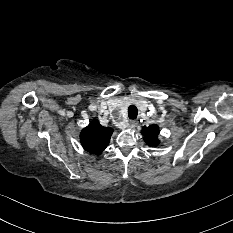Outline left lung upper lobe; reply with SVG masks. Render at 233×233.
I'll return each mask as SVG.
<instances>
[{
	"label": "left lung upper lobe",
	"mask_w": 233,
	"mask_h": 233,
	"mask_svg": "<svg viewBox=\"0 0 233 233\" xmlns=\"http://www.w3.org/2000/svg\"><path fill=\"white\" fill-rule=\"evenodd\" d=\"M142 135L144 136V140L148 145L157 146L158 142V135H159V128L157 125H151L149 127H143L141 130Z\"/></svg>",
	"instance_id": "1"
}]
</instances>
